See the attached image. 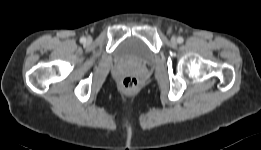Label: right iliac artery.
<instances>
[{"label":"right iliac artery","mask_w":261,"mask_h":150,"mask_svg":"<svg viewBox=\"0 0 261 150\" xmlns=\"http://www.w3.org/2000/svg\"><path fill=\"white\" fill-rule=\"evenodd\" d=\"M80 42H81V43H85V42H86V38H85V37H82V38L80 39Z\"/></svg>","instance_id":"obj_1"}]
</instances>
